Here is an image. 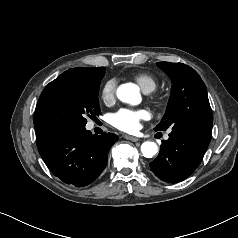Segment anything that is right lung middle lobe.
<instances>
[{"label": "right lung middle lobe", "instance_id": "1", "mask_svg": "<svg viewBox=\"0 0 238 238\" xmlns=\"http://www.w3.org/2000/svg\"><path fill=\"white\" fill-rule=\"evenodd\" d=\"M105 67L92 68L90 78L68 77L56 87L58 126L73 124L85 126L86 117L96 118L101 114L98 92Z\"/></svg>", "mask_w": 238, "mask_h": 238}]
</instances>
